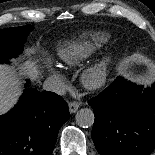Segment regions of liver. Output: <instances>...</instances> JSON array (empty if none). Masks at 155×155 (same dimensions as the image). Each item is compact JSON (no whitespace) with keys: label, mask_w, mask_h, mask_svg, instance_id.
<instances>
[{"label":"liver","mask_w":155,"mask_h":155,"mask_svg":"<svg viewBox=\"0 0 155 155\" xmlns=\"http://www.w3.org/2000/svg\"><path fill=\"white\" fill-rule=\"evenodd\" d=\"M25 71L30 79L38 77L39 71L33 61L25 62ZM20 82L14 70L0 66V114L7 112L20 95Z\"/></svg>","instance_id":"1"}]
</instances>
